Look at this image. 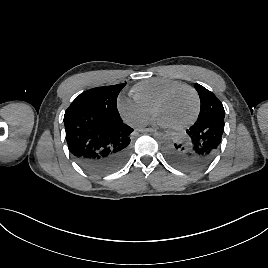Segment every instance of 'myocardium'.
Instances as JSON below:
<instances>
[{
    "mask_svg": "<svg viewBox=\"0 0 268 268\" xmlns=\"http://www.w3.org/2000/svg\"><path fill=\"white\" fill-rule=\"evenodd\" d=\"M181 89H187L189 90L194 99H195V110H194V113L193 115L187 120L185 121L184 123L180 124V125H177V126H173V127H170L171 129L173 130H182L188 126H190L191 124H193L195 122V120L198 118L199 116V113H200V108H201V101H200V96L198 94V92L190 85L188 84H184V83H181V84H178V85H175L173 87H171L170 89H168L156 102L154 108H153V111H154V115L156 117V119L158 118L157 115H158V110L160 108V106L166 101L168 100L174 93H176L177 91L181 90Z\"/></svg>",
    "mask_w": 268,
    "mask_h": 268,
    "instance_id": "1",
    "label": "myocardium"
}]
</instances>
